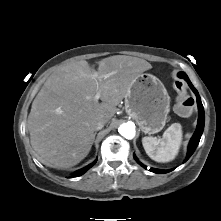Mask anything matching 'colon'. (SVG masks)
Wrapping results in <instances>:
<instances>
[{
    "label": "colon",
    "mask_w": 221,
    "mask_h": 221,
    "mask_svg": "<svg viewBox=\"0 0 221 221\" xmlns=\"http://www.w3.org/2000/svg\"><path fill=\"white\" fill-rule=\"evenodd\" d=\"M174 89L177 93V102L175 105V111L182 117H188L193 110V99L187 95L186 85L181 80L174 82Z\"/></svg>",
    "instance_id": "1"
}]
</instances>
